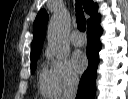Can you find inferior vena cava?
<instances>
[{
    "instance_id": "1",
    "label": "inferior vena cava",
    "mask_w": 128,
    "mask_h": 99,
    "mask_svg": "<svg viewBox=\"0 0 128 99\" xmlns=\"http://www.w3.org/2000/svg\"><path fill=\"white\" fill-rule=\"evenodd\" d=\"M79 80L77 77H72L67 83V87L64 89L62 99H75Z\"/></svg>"
}]
</instances>
